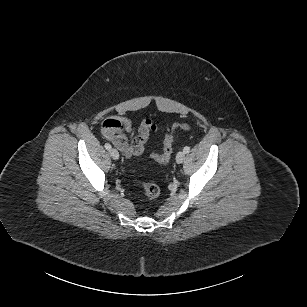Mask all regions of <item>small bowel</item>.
I'll list each match as a JSON object with an SVG mask.
<instances>
[{"label": "small bowel", "instance_id": "c3829d8e", "mask_svg": "<svg viewBox=\"0 0 307 307\" xmlns=\"http://www.w3.org/2000/svg\"><path fill=\"white\" fill-rule=\"evenodd\" d=\"M156 129V124L153 121L144 120L139 126L138 134L129 143L126 133L133 132V123L125 116L115 115L103 122L101 132L105 139L113 143L126 157L130 158L143 154L150 133L156 131Z\"/></svg>", "mask_w": 307, "mask_h": 307}]
</instances>
